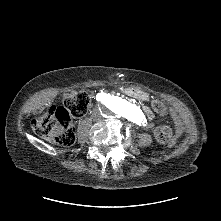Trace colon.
<instances>
[{
    "instance_id": "1",
    "label": "colon",
    "mask_w": 221,
    "mask_h": 221,
    "mask_svg": "<svg viewBox=\"0 0 221 221\" xmlns=\"http://www.w3.org/2000/svg\"><path fill=\"white\" fill-rule=\"evenodd\" d=\"M89 95L82 90H68L61 97L60 107H50L46 112L35 116L33 127L37 134L44 137H51L60 146L69 147L75 141V129L72 125V118L82 116L87 109ZM152 108L159 114L166 113L164 103L159 99H153ZM159 142L175 143L168 126L161 125L155 132Z\"/></svg>"
}]
</instances>
